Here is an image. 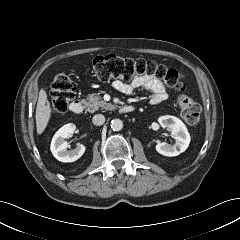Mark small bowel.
<instances>
[{"mask_svg": "<svg viewBox=\"0 0 240 240\" xmlns=\"http://www.w3.org/2000/svg\"><path fill=\"white\" fill-rule=\"evenodd\" d=\"M112 86L118 92L126 95L133 94L136 89L145 90L151 94L150 103L153 105L165 101L168 97L164 85L155 77H138L129 83L116 80L112 83Z\"/></svg>", "mask_w": 240, "mask_h": 240, "instance_id": "obj_1", "label": "small bowel"}]
</instances>
